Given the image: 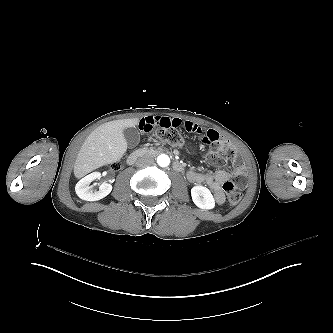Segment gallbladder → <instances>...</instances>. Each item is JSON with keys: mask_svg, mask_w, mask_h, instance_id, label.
<instances>
[{"mask_svg": "<svg viewBox=\"0 0 333 333\" xmlns=\"http://www.w3.org/2000/svg\"><path fill=\"white\" fill-rule=\"evenodd\" d=\"M123 135L129 148L136 147L140 142V133L135 127L124 129Z\"/></svg>", "mask_w": 333, "mask_h": 333, "instance_id": "bac80fb5", "label": "gallbladder"}]
</instances>
